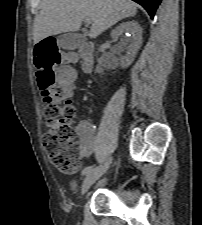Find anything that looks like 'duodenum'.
Segmentation results:
<instances>
[{
    "label": "duodenum",
    "instance_id": "1",
    "mask_svg": "<svg viewBox=\"0 0 202 225\" xmlns=\"http://www.w3.org/2000/svg\"><path fill=\"white\" fill-rule=\"evenodd\" d=\"M80 58L82 60V68L85 72L92 71L93 68V56H94V45L92 43H84L79 51Z\"/></svg>",
    "mask_w": 202,
    "mask_h": 225
}]
</instances>
